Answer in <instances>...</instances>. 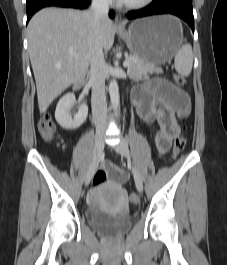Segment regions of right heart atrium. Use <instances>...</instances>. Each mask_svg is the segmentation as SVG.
<instances>
[{
    "instance_id": "right-heart-atrium-1",
    "label": "right heart atrium",
    "mask_w": 227,
    "mask_h": 265,
    "mask_svg": "<svg viewBox=\"0 0 227 265\" xmlns=\"http://www.w3.org/2000/svg\"><path fill=\"white\" fill-rule=\"evenodd\" d=\"M103 4H110L112 0H98Z\"/></svg>"
}]
</instances>
